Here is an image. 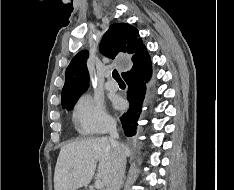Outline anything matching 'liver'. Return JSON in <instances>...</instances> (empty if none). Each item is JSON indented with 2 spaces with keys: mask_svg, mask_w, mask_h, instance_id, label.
Listing matches in <instances>:
<instances>
[{
  "mask_svg": "<svg viewBox=\"0 0 234 190\" xmlns=\"http://www.w3.org/2000/svg\"><path fill=\"white\" fill-rule=\"evenodd\" d=\"M120 146L125 157H129L130 149L124 144ZM97 162L99 165L96 176L106 186L113 166V148L108 138L67 143L61 148L57 159L54 190H77L87 186L94 176Z\"/></svg>",
  "mask_w": 234,
  "mask_h": 190,
  "instance_id": "liver-1",
  "label": "liver"
}]
</instances>
